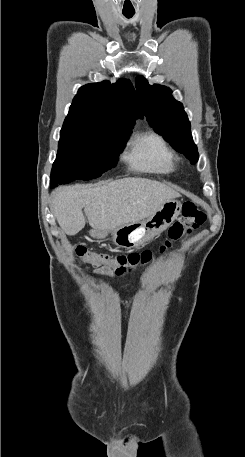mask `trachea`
I'll use <instances>...</instances> for the list:
<instances>
[{"label":"trachea","mask_w":245,"mask_h":457,"mask_svg":"<svg viewBox=\"0 0 245 457\" xmlns=\"http://www.w3.org/2000/svg\"><path fill=\"white\" fill-rule=\"evenodd\" d=\"M126 18H132L134 13H123Z\"/></svg>","instance_id":"1"}]
</instances>
